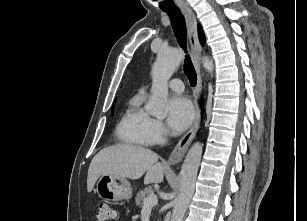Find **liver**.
I'll use <instances>...</instances> for the list:
<instances>
[{
  "label": "liver",
  "instance_id": "liver-1",
  "mask_svg": "<svg viewBox=\"0 0 307 221\" xmlns=\"http://www.w3.org/2000/svg\"><path fill=\"white\" fill-rule=\"evenodd\" d=\"M166 165L158 162V155L150 149L120 144L109 146L92 159L87 178V191L91 192L102 175H115L136 180L144 174V183H161Z\"/></svg>",
  "mask_w": 307,
  "mask_h": 221
}]
</instances>
